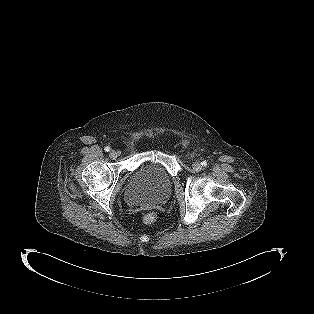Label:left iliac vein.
<instances>
[{"mask_svg": "<svg viewBox=\"0 0 314 314\" xmlns=\"http://www.w3.org/2000/svg\"><path fill=\"white\" fill-rule=\"evenodd\" d=\"M193 169L196 170V171H200L202 169V165L200 162H195L193 164Z\"/></svg>", "mask_w": 314, "mask_h": 314, "instance_id": "1", "label": "left iliac vein"}]
</instances>
